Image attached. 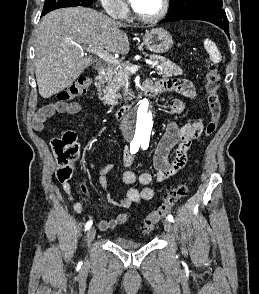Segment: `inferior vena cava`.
I'll list each match as a JSON object with an SVG mask.
<instances>
[{"label": "inferior vena cava", "instance_id": "obj_1", "mask_svg": "<svg viewBox=\"0 0 259 294\" xmlns=\"http://www.w3.org/2000/svg\"><path fill=\"white\" fill-rule=\"evenodd\" d=\"M111 17L115 20L118 17V11L116 9H114L113 12H111Z\"/></svg>", "mask_w": 259, "mask_h": 294}]
</instances>
